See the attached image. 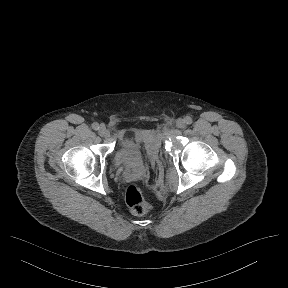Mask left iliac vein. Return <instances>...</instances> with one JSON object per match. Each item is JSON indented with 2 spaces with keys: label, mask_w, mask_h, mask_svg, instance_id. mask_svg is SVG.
Returning <instances> with one entry per match:
<instances>
[{
  "label": "left iliac vein",
  "mask_w": 288,
  "mask_h": 288,
  "mask_svg": "<svg viewBox=\"0 0 288 288\" xmlns=\"http://www.w3.org/2000/svg\"><path fill=\"white\" fill-rule=\"evenodd\" d=\"M176 126L180 129L185 128V126H186L185 120L182 118L177 119Z\"/></svg>",
  "instance_id": "4c4485c4"
}]
</instances>
